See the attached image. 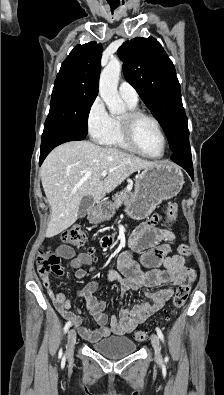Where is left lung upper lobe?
<instances>
[{
  "label": "left lung upper lobe",
  "instance_id": "1",
  "mask_svg": "<svg viewBox=\"0 0 224 395\" xmlns=\"http://www.w3.org/2000/svg\"><path fill=\"white\" fill-rule=\"evenodd\" d=\"M118 56L126 80L160 121L174 152L189 137V131L172 61L153 37L124 42Z\"/></svg>",
  "mask_w": 224,
  "mask_h": 395
}]
</instances>
